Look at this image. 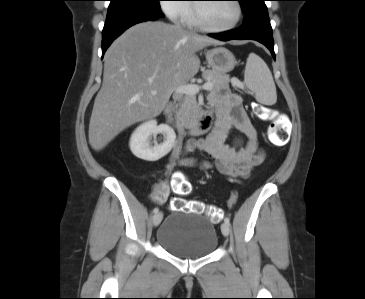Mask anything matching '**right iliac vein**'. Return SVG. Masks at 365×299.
Masks as SVG:
<instances>
[{
	"label": "right iliac vein",
	"mask_w": 365,
	"mask_h": 299,
	"mask_svg": "<svg viewBox=\"0 0 365 299\" xmlns=\"http://www.w3.org/2000/svg\"><path fill=\"white\" fill-rule=\"evenodd\" d=\"M162 218H163V214L161 212H158L154 215L153 224L155 227H157L161 223Z\"/></svg>",
	"instance_id": "right-iliac-vein-1"
}]
</instances>
